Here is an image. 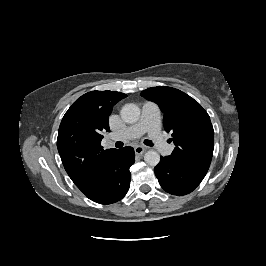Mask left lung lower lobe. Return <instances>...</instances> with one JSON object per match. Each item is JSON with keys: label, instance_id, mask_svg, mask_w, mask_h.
<instances>
[{"label": "left lung lower lobe", "instance_id": "left-lung-lower-lobe-1", "mask_svg": "<svg viewBox=\"0 0 266 266\" xmlns=\"http://www.w3.org/2000/svg\"><path fill=\"white\" fill-rule=\"evenodd\" d=\"M209 167L180 164L170 156L161 157L154 168L161 187L172 195H186L203 180Z\"/></svg>", "mask_w": 266, "mask_h": 266}]
</instances>
